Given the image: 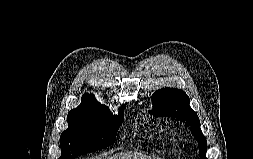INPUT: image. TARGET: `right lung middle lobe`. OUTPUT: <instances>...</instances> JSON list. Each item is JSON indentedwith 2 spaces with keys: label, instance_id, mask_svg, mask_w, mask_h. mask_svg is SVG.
<instances>
[{
  "label": "right lung middle lobe",
  "instance_id": "dd1d6c3e",
  "mask_svg": "<svg viewBox=\"0 0 253 159\" xmlns=\"http://www.w3.org/2000/svg\"><path fill=\"white\" fill-rule=\"evenodd\" d=\"M118 116L101 104H80L68 113V129L60 137L62 155L59 159H74L86 152L101 150L115 142L123 121L122 109Z\"/></svg>",
  "mask_w": 253,
  "mask_h": 159
}]
</instances>
